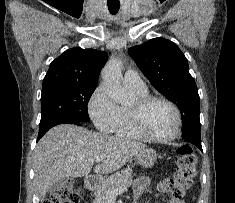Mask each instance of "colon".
<instances>
[{"mask_svg": "<svg viewBox=\"0 0 235 203\" xmlns=\"http://www.w3.org/2000/svg\"><path fill=\"white\" fill-rule=\"evenodd\" d=\"M197 155L189 146L177 150V167L171 178L164 180L160 190L173 199H181L197 175ZM80 194L71 180L55 189L44 203H79Z\"/></svg>", "mask_w": 235, "mask_h": 203, "instance_id": "obj_1", "label": "colon"}]
</instances>
